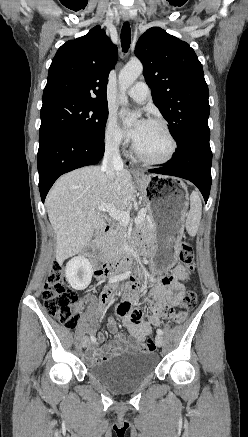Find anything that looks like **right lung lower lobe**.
Listing matches in <instances>:
<instances>
[{
	"label": "right lung lower lobe",
	"instance_id": "obj_1",
	"mask_svg": "<svg viewBox=\"0 0 248 437\" xmlns=\"http://www.w3.org/2000/svg\"><path fill=\"white\" fill-rule=\"evenodd\" d=\"M103 154L104 140H94L64 128L40 132L37 161L42 202L60 175L95 165Z\"/></svg>",
	"mask_w": 248,
	"mask_h": 437
}]
</instances>
